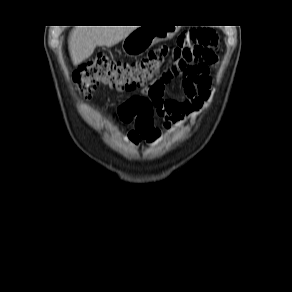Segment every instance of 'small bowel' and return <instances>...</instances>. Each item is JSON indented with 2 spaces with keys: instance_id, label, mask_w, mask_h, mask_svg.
Returning <instances> with one entry per match:
<instances>
[{
  "instance_id": "1",
  "label": "small bowel",
  "mask_w": 292,
  "mask_h": 292,
  "mask_svg": "<svg viewBox=\"0 0 292 292\" xmlns=\"http://www.w3.org/2000/svg\"><path fill=\"white\" fill-rule=\"evenodd\" d=\"M216 62L217 57L213 48L208 58L196 63L189 73L183 75L182 88L185 97L182 100L165 99L163 86L155 112V116L162 119V129L168 130L172 126L182 123L202 107L210 94V70ZM153 129L157 136L160 135L161 129L156 128L154 122ZM127 137L134 145H138L146 139L143 131L135 123Z\"/></svg>"
}]
</instances>
